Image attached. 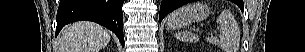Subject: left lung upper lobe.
Masks as SVG:
<instances>
[{"label": "left lung upper lobe", "mask_w": 305, "mask_h": 52, "mask_svg": "<svg viewBox=\"0 0 305 52\" xmlns=\"http://www.w3.org/2000/svg\"><path fill=\"white\" fill-rule=\"evenodd\" d=\"M234 3H236L238 6H242V2L241 1H233Z\"/></svg>", "instance_id": "obj_1"}]
</instances>
